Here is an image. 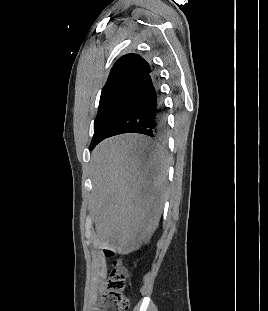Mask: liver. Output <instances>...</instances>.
Wrapping results in <instances>:
<instances>
[{
  "instance_id": "1",
  "label": "liver",
  "mask_w": 268,
  "mask_h": 311,
  "mask_svg": "<svg viewBox=\"0 0 268 311\" xmlns=\"http://www.w3.org/2000/svg\"><path fill=\"white\" fill-rule=\"evenodd\" d=\"M167 175V156L152 150L141 135L115 136L98 144L90 161L94 245L123 255L139 249L160 220Z\"/></svg>"
}]
</instances>
